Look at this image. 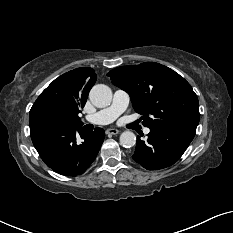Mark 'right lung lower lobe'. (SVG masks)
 <instances>
[{
  "label": "right lung lower lobe",
  "instance_id": "1",
  "mask_svg": "<svg viewBox=\"0 0 233 233\" xmlns=\"http://www.w3.org/2000/svg\"><path fill=\"white\" fill-rule=\"evenodd\" d=\"M77 132L82 140L77 138ZM30 134L44 163L65 176L84 173L95 160L105 136L102 128L86 133L81 125L62 129L30 126Z\"/></svg>",
  "mask_w": 233,
  "mask_h": 233
}]
</instances>
